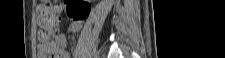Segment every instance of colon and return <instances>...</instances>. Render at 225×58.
Wrapping results in <instances>:
<instances>
[{
    "mask_svg": "<svg viewBox=\"0 0 225 58\" xmlns=\"http://www.w3.org/2000/svg\"><path fill=\"white\" fill-rule=\"evenodd\" d=\"M67 15L74 21L84 20L90 12V4L83 0H66ZM38 25L43 29L42 38H48L54 32L58 20V11L51 6L50 1H41L38 6Z\"/></svg>",
    "mask_w": 225,
    "mask_h": 58,
    "instance_id": "colon-1",
    "label": "colon"
}]
</instances>
